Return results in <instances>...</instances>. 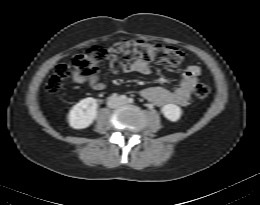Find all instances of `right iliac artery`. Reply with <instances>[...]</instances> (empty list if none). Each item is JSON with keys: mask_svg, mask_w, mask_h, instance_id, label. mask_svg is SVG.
<instances>
[{"mask_svg": "<svg viewBox=\"0 0 260 205\" xmlns=\"http://www.w3.org/2000/svg\"><path fill=\"white\" fill-rule=\"evenodd\" d=\"M119 99L124 101V100L127 99V97H126V95H120V96H119Z\"/></svg>", "mask_w": 260, "mask_h": 205, "instance_id": "1", "label": "right iliac artery"}]
</instances>
